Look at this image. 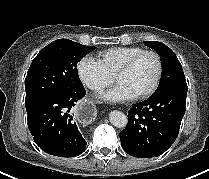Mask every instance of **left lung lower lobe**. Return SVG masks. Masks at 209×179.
Listing matches in <instances>:
<instances>
[{
    "instance_id": "left-lung-lower-lobe-1",
    "label": "left lung lower lobe",
    "mask_w": 209,
    "mask_h": 179,
    "mask_svg": "<svg viewBox=\"0 0 209 179\" xmlns=\"http://www.w3.org/2000/svg\"><path fill=\"white\" fill-rule=\"evenodd\" d=\"M187 86H177L133 104L120 132L123 150L139 158L157 157L176 140L186 110Z\"/></svg>"
}]
</instances>
